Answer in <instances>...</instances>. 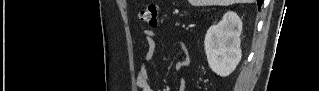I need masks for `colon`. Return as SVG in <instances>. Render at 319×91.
Masks as SVG:
<instances>
[{"mask_svg": "<svg viewBox=\"0 0 319 91\" xmlns=\"http://www.w3.org/2000/svg\"><path fill=\"white\" fill-rule=\"evenodd\" d=\"M157 5L150 3L140 11V20L149 25L151 28L158 26Z\"/></svg>", "mask_w": 319, "mask_h": 91, "instance_id": "colon-1", "label": "colon"}]
</instances>
